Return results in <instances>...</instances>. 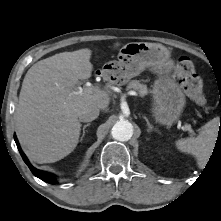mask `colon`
Here are the masks:
<instances>
[{"label": "colon", "instance_id": "1", "mask_svg": "<svg viewBox=\"0 0 221 221\" xmlns=\"http://www.w3.org/2000/svg\"><path fill=\"white\" fill-rule=\"evenodd\" d=\"M175 73L187 96L196 104L203 105L205 103L203 82L192 60L188 57H181L176 65Z\"/></svg>", "mask_w": 221, "mask_h": 221}]
</instances>
